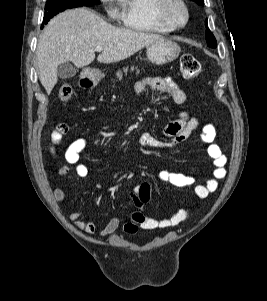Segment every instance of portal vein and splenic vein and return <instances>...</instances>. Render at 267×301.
<instances>
[{
    "label": "portal vein and splenic vein",
    "mask_w": 267,
    "mask_h": 301,
    "mask_svg": "<svg viewBox=\"0 0 267 301\" xmlns=\"http://www.w3.org/2000/svg\"><path fill=\"white\" fill-rule=\"evenodd\" d=\"M95 51H97V52L102 51V47H101V46H97V47L95 48Z\"/></svg>",
    "instance_id": "obj_1"
}]
</instances>
